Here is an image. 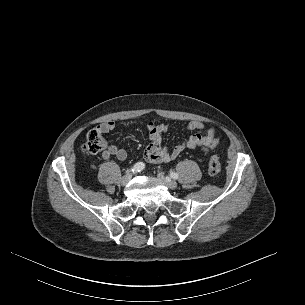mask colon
<instances>
[{
  "label": "colon",
  "mask_w": 305,
  "mask_h": 305,
  "mask_svg": "<svg viewBox=\"0 0 305 305\" xmlns=\"http://www.w3.org/2000/svg\"><path fill=\"white\" fill-rule=\"evenodd\" d=\"M105 148L106 141L101 132L97 129H93L87 134L86 141L82 146L83 151L87 154H97L104 151ZM220 169L219 157L218 155L213 154L208 163V172L210 175L216 176L220 172Z\"/></svg>",
  "instance_id": "colon-1"
}]
</instances>
